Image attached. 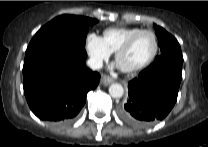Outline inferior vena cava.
<instances>
[{
  "mask_svg": "<svg viewBox=\"0 0 208 147\" xmlns=\"http://www.w3.org/2000/svg\"><path fill=\"white\" fill-rule=\"evenodd\" d=\"M87 65L91 69L97 70V69H100L102 67V60L98 57H91L90 59H88Z\"/></svg>",
  "mask_w": 208,
  "mask_h": 147,
  "instance_id": "1",
  "label": "inferior vena cava"
}]
</instances>
